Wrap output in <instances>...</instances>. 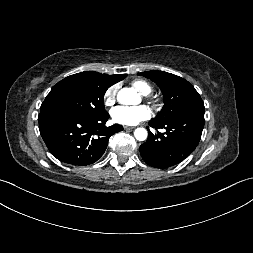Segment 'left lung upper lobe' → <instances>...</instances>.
<instances>
[{
    "instance_id": "left-lung-upper-lobe-1",
    "label": "left lung upper lobe",
    "mask_w": 253,
    "mask_h": 253,
    "mask_svg": "<svg viewBox=\"0 0 253 253\" xmlns=\"http://www.w3.org/2000/svg\"><path fill=\"white\" fill-rule=\"evenodd\" d=\"M138 74L154 81L163 93L164 106L153 119L155 121L170 120L196 105L203 104L194 86L177 75L164 71H146Z\"/></svg>"
}]
</instances>
